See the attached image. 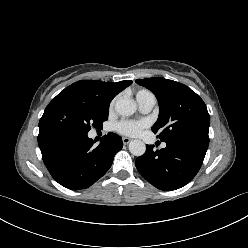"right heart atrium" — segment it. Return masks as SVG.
<instances>
[{
    "label": "right heart atrium",
    "mask_w": 248,
    "mask_h": 248,
    "mask_svg": "<svg viewBox=\"0 0 248 248\" xmlns=\"http://www.w3.org/2000/svg\"><path fill=\"white\" fill-rule=\"evenodd\" d=\"M114 104H115V100H113V101L110 103V110H112V109H113Z\"/></svg>",
    "instance_id": "obj_1"
}]
</instances>
